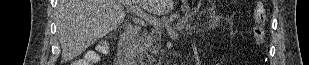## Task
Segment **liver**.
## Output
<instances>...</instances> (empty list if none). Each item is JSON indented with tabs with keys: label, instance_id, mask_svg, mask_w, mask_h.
I'll return each mask as SVG.
<instances>
[{
	"label": "liver",
	"instance_id": "6515ba94",
	"mask_svg": "<svg viewBox=\"0 0 309 65\" xmlns=\"http://www.w3.org/2000/svg\"><path fill=\"white\" fill-rule=\"evenodd\" d=\"M127 2H138L157 15L171 12L174 4L173 0H58L56 25L62 59L72 60L123 23Z\"/></svg>",
	"mask_w": 309,
	"mask_h": 65
}]
</instances>
